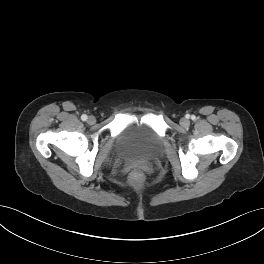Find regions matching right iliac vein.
Here are the masks:
<instances>
[{
	"label": "right iliac vein",
	"instance_id": "obj_1",
	"mask_svg": "<svg viewBox=\"0 0 264 264\" xmlns=\"http://www.w3.org/2000/svg\"><path fill=\"white\" fill-rule=\"evenodd\" d=\"M96 122V118L94 116H89L88 117V123L89 124H94Z\"/></svg>",
	"mask_w": 264,
	"mask_h": 264
}]
</instances>
